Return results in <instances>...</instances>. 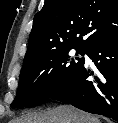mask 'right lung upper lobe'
<instances>
[{
  "mask_svg": "<svg viewBox=\"0 0 118 123\" xmlns=\"http://www.w3.org/2000/svg\"><path fill=\"white\" fill-rule=\"evenodd\" d=\"M118 36V0H45L34 16L23 61L62 48L87 51Z\"/></svg>",
  "mask_w": 118,
  "mask_h": 123,
  "instance_id": "obj_1",
  "label": "right lung upper lobe"
}]
</instances>
